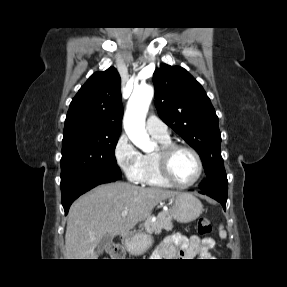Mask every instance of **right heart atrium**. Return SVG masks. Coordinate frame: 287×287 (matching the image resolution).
Instances as JSON below:
<instances>
[{
  "label": "right heart atrium",
  "instance_id": "right-heart-atrium-1",
  "mask_svg": "<svg viewBox=\"0 0 287 287\" xmlns=\"http://www.w3.org/2000/svg\"><path fill=\"white\" fill-rule=\"evenodd\" d=\"M114 157L126 177L131 182L140 183L142 154L126 134H121L117 139L114 146Z\"/></svg>",
  "mask_w": 287,
  "mask_h": 287
}]
</instances>
